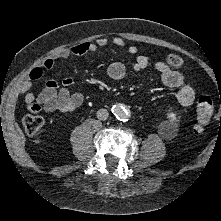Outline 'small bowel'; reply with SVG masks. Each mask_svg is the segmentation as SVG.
Masks as SVG:
<instances>
[{
	"label": "small bowel",
	"mask_w": 221,
	"mask_h": 221,
	"mask_svg": "<svg viewBox=\"0 0 221 221\" xmlns=\"http://www.w3.org/2000/svg\"><path fill=\"white\" fill-rule=\"evenodd\" d=\"M109 42L114 46L127 47L125 39L115 36L110 40L106 37L98 38L95 41H88L74 45L70 49H62L54 56L47 58L41 67L35 68L20 86V93L23 96L29 110L38 112L43 109L46 112L69 113L75 111L83 102V95L79 92H70L69 88L73 85L72 78H65L61 82L50 79L46 86L37 94L30 90L34 81L43 76V69H53L60 59H67L71 55H85L93 53L99 48L106 47ZM128 52L135 56L133 69L141 71L148 65V58L139 54L135 46H129ZM155 69L160 74L162 83L169 87L177 89V101L182 107H189L195 100V91L193 86L185 80L183 75L168 67L164 62H157ZM109 77L113 80H121L126 74V67L121 62H114L107 69Z\"/></svg>",
	"instance_id": "obj_1"
}]
</instances>
